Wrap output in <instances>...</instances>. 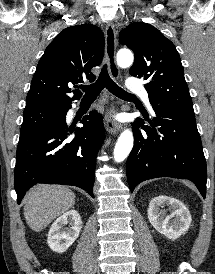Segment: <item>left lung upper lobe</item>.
<instances>
[{
    "mask_svg": "<svg viewBox=\"0 0 215 274\" xmlns=\"http://www.w3.org/2000/svg\"><path fill=\"white\" fill-rule=\"evenodd\" d=\"M119 40L134 52L130 74L147 80L151 104L194 113L180 56L169 39L154 26L135 22L120 32Z\"/></svg>",
    "mask_w": 215,
    "mask_h": 274,
    "instance_id": "1",
    "label": "left lung upper lobe"
}]
</instances>
